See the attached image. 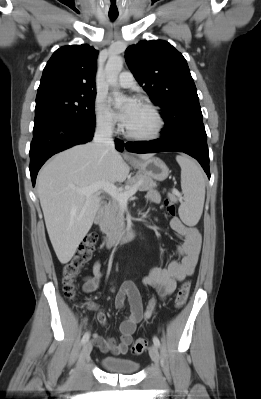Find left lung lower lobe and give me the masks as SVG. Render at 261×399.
I'll return each mask as SVG.
<instances>
[{
	"label": "left lung lower lobe",
	"mask_w": 261,
	"mask_h": 399,
	"mask_svg": "<svg viewBox=\"0 0 261 399\" xmlns=\"http://www.w3.org/2000/svg\"><path fill=\"white\" fill-rule=\"evenodd\" d=\"M126 149L135 153L184 152L201 164L210 179L207 135L202 120L189 122L156 140L126 143Z\"/></svg>",
	"instance_id": "0a47b994"
}]
</instances>
